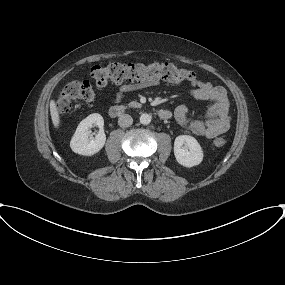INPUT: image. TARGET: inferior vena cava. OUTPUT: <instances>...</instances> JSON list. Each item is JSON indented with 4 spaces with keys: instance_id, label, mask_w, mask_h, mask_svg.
<instances>
[{
    "instance_id": "602c4592",
    "label": "inferior vena cava",
    "mask_w": 285,
    "mask_h": 285,
    "mask_svg": "<svg viewBox=\"0 0 285 285\" xmlns=\"http://www.w3.org/2000/svg\"><path fill=\"white\" fill-rule=\"evenodd\" d=\"M133 123V118L128 114H123L118 119V125L122 128L131 126Z\"/></svg>"
}]
</instances>
